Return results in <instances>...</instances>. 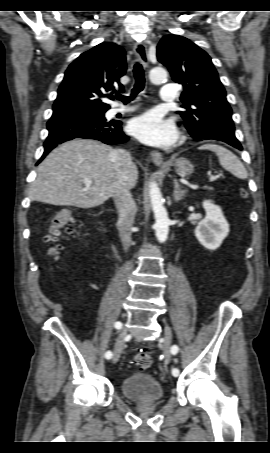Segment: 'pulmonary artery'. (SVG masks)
<instances>
[{"label":"pulmonary artery","instance_id":"pulmonary-artery-1","mask_svg":"<svg viewBox=\"0 0 270 453\" xmlns=\"http://www.w3.org/2000/svg\"><path fill=\"white\" fill-rule=\"evenodd\" d=\"M161 99L164 101H174L177 98V88L174 84H167L161 87L160 90ZM125 111V109H120Z\"/></svg>","mask_w":270,"mask_h":453}]
</instances>
